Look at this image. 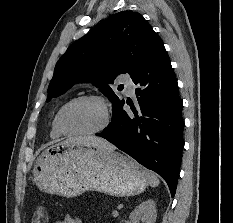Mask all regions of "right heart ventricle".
<instances>
[{
    "label": "right heart ventricle",
    "instance_id": "1",
    "mask_svg": "<svg viewBox=\"0 0 233 223\" xmlns=\"http://www.w3.org/2000/svg\"><path fill=\"white\" fill-rule=\"evenodd\" d=\"M64 104H65V103H63V104L61 105V107H62ZM61 107H60V108H61ZM60 108H59L58 111L56 112V114H55V116H54V118H53V120H52V122H51L50 137H51L53 140H58V139H60L61 137L64 136V134L60 133V132L58 131L57 127H56V116H57V114H58Z\"/></svg>",
    "mask_w": 233,
    "mask_h": 223
}]
</instances>
